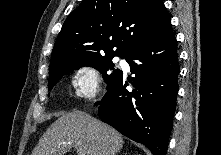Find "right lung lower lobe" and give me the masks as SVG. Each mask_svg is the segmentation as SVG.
Instances as JSON below:
<instances>
[{
    "mask_svg": "<svg viewBox=\"0 0 221 155\" xmlns=\"http://www.w3.org/2000/svg\"><path fill=\"white\" fill-rule=\"evenodd\" d=\"M135 74L129 92L123 73L112 83L98 110L128 138L144 144L153 155H165L178 93L179 63L171 23L143 37L126 57Z\"/></svg>",
    "mask_w": 221,
    "mask_h": 155,
    "instance_id": "1",
    "label": "right lung lower lobe"
}]
</instances>
